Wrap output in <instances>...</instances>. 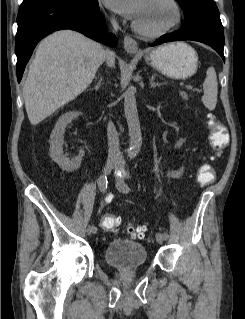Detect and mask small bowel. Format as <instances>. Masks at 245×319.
<instances>
[{"label":"small bowel","instance_id":"small-bowel-1","mask_svg":"<svg viewBox=\"0 0 245 319\" xmlns=\"http://www.w3.org/2000/svg\"><path fill=\"white\" fill-rule=\"evenodd\" d=\"M184 171V167H181L179 169H174V170H170L167 173V176L170 180L175 179L177 177H179Z\"/></svg>","mask_w":245,"mask_h":319}]
</instances>
